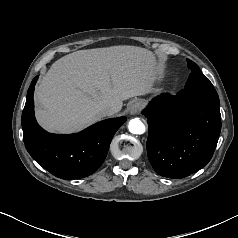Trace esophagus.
Segmentation results:
<instances>
[{
  "instance_id": "34e87169",
  "label": "esophagus",
  "mask_w": 238,
  "mask_h": 238,
  "mask_svg": "<svg viewBox=\"0 0 238 238\" xmlns=\"http://www.w3.org/2000/svg\"><path fill=\"white\" fill-rule=\"evenodd\" d=\"M140 110H141V104L136 102V103L131 105V107L129 109V113L131 115H135V114L139 113Z\"/></svg>"
}]
</instances>
